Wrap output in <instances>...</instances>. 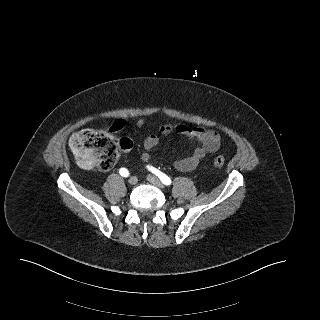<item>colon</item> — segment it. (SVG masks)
I'll return each instance as SVG.
<instances>
[{"mask_svg":"<svg viewBox=\"0 0 320 320\" xmlns=\"http://www.w3.org/2000/svg\"><path fill=\"white\" fill-rule=\"evenodd\" d=\"M115 131V123L109 130L83 129L70 137L69 145L82 165L108 170L117 162L122 150L126 151L132 147L128 138L117 140L113 135ZM224 163L221 156H217L213 161L218 169H221Z\"/></svg>","mask_w":320,"mask_h":320,"instance_id":"colon-1","label":"colon"}]
</instances>
